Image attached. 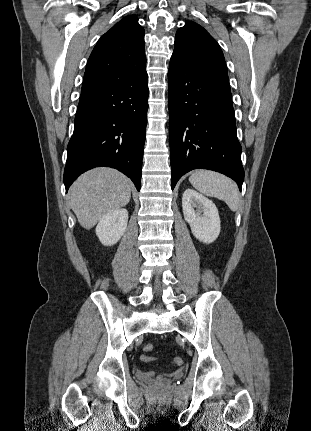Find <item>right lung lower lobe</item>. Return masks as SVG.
Masks as SVG:
<instances>
[{
    "mask_svg": "<svg viewBox=\"0 0 311 431\" xmlns=\"http://www.w3.org/2000/svg\"><path fill=\"white\" fill-rule=\"evenodd\" d=\"M147 83L145 67L132 79L81 92L67 147L66 192L80 174L99 166L118 169L140 190Z\"/></svg>",
    "mask_w": 311,
    "mask_h": 431,
    "instance_id": "1",
    "label": "right lung lower lobe"
}]
</instances>
